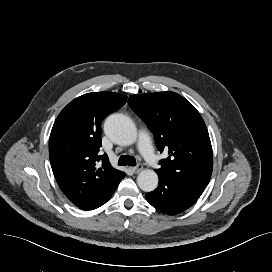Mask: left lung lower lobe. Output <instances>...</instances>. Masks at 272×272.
I'll list each match as a JSON object with an SVG mask.
<instances>
[{
    "mask_svg": "<svg viewBox=\"0 0 272 272\" xmlns=\"http://www.w3.org/2000/svg\"><path fill=\"white\" fill-rule=\"evenodd\" d=\"M205 186L173 177L159 176L158 187L146 194L147 201L159 211L179 214L191 207L201 196Z\"/></svg>",
    "mask_w": 272,
    "mask_h": 272,
    "instance_id": "0a47b994",
    "label": "left lung lower lobe"
}]
</instances>
